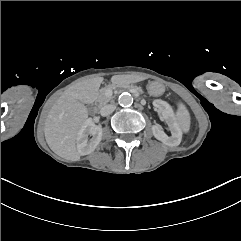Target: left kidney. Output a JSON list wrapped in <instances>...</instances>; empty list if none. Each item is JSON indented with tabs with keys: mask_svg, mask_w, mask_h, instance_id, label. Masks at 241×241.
<instances>
[{
	"mask_svg": "<svg viewBox=\"0 0 241 241\" xmlns=\"http://www.w3.org/2000/svg\"><path fill=\"white\" fill-rule=\"evenodd\" d=\"M153 105L161 111L160 120L164 122L171 135L167 136L159 125H152L153 136L169 147H176L181 143L182 134L177 124L175 123L172 111L168 104L156 100Z\"/></svg>",
	"mask_w": 241,
	"mask_h": 241,
	"instance_id": "obj_1",
	"label": "left kidney"
}]
</instances>
